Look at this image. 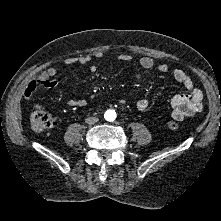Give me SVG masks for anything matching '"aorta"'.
Here are the masks:
<instances>
[{"mask_svg": "<svg viewBox=\"0 0 221 221\" xmlns=\"http://www.w3.org/2000/svg\"><path fill=\"white\" fill-rule=\"evenodd\" d=\"M116 118V112L114 110H107L105 113V119L108 121H113Z\"/></svg>", "mask_w": 221, "mask_h": 221, "instance_id": "aorta-1", "label": "aorta"}]
</instances>
